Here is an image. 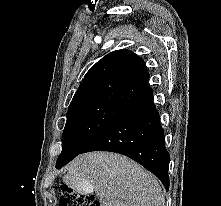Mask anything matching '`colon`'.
I'll return each instance as SVG.
<instances>
[{
  "label": "colon",
  "instance_id": "5ec220e1",
  "mask_svg": "<svg viewBox=\"0 0 221 206\" xmlns=\"http://www.w3.org/2000/svg\"><path fill=\"white\" fill-rule=\"evenodd\" d=\"M60 206H102L93 196L74 194L73 190L64 186L60 197Z\"/></svg>",
  "mask_w": 221,
  "mask_h": 206
}]
</instances>
